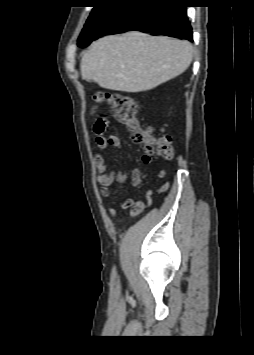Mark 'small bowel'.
Segmentation results:
<instances>
[{
  "instance_id": "small-bowel-1",
  "label": "small bowel",
  "mask_w": 254,
  "mask_h": 355,
  "mask_svg": "<svg viewBox=\"0 0 254 355\" xmlns=\"http://www.w3.org/2000/svg\"><path fill=\"white\" fill-rule=\"evenodd\" d=\"M108 125H109V121L103 131H97L95 126V132H96L95 143L97 146L95 165L98 169V174L96 175V181L100 185L99 193L102 198L109 197L110 187L115 182L118 183L130 182L133 187L139 186L141 182V172L139 169L133 168L129 172L124 173L121 171H117L111 167H108L105 164V153L108 146H112L118 149L123 148L120 139L116 135L114 134L104 135V131L106 130ZM142 160L144 163L152 162V158L147 155L143 156ZM165 175H166L165 169L161 168L158 170L157 177L159 179L164 178ZM135 204L136 203L134 199L128 198L122 202L121 208L122 209L132 208L131 216L134 217L138 214L139 208L141 207V204H136V205ZM107 212L112 218L116 217V210L114 208L112 207L107 208Z\"/></svg>"
}]
</instances>
